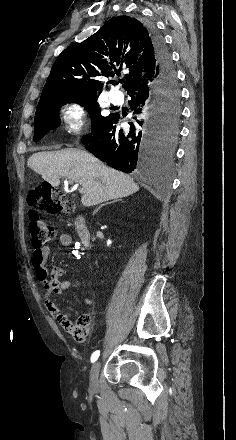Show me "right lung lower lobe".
Masks as SVG:
<instances>
[{
  "mask_svg": "<svg viewBox=\"0 0 236 440\" xmlns=\"http://www.w3.org/2000/svg\"><path fill=\"white\" fill-rule=\"evenodd\" d=\"M146 27L152 40L159 77L155 83L128 93L131 97L130 109L134 114L133 121L129 122L130 129H120L121 117L114 113L82 137V143L90 153L126 173L133 170L143 172L159 163L163 147L159 144L158 133L166 102L159 98L155 88L177 84L171 55L163 37L153 25Z\"/></svg>",
  "mask_w": 236,
  "mask_h": 440,
  "instance_id": "1",
  "label": "right lung lower lobe"
}]
</instances>
